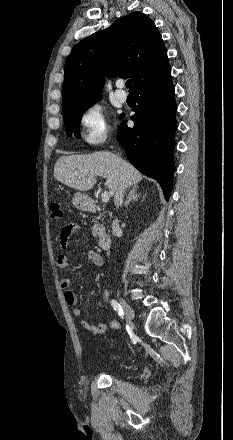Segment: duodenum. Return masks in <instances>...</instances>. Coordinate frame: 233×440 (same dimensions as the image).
<instances>
[{
    "mask_svg": "<svg viewBox=\"0 0 233 440\" xmlns=\"http://www.w3.org/2000/svg\"><path fill=\"white\" fill-rule=\"evenodd\" d=\"M99 246L102 249H109L111 246V238L108 235L101 234L99 236Z\"/></svg>",
    "mask_w": 233,
    "mask_h": 440,
    "instance_id": "obj_1",
    "label": "duodenum"
}]
</instances>
